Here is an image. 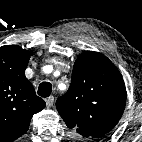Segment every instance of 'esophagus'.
Segmentation results:
<instances>
[{
	"label": "esophagus",
	"mask_w": 142,
	"mask_h": 142,
	"mask_svg": "<svg viewBox=\"0 0 142 142\" xmlns=\"http://www.w3.org/2000/svg\"><path fill=\"white\" fill-rule=\"evenodd\" d=\"M45 102H46V106H47L48 108L52 107V106H53V103H54V97H53V96L48 97V98L45 100Z\"/></svg>",
	"instance_id": "esophagus-1"
}]
</instances>
